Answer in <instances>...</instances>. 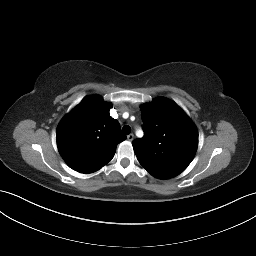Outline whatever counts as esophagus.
I'll list each match as a JSON object with an SVG mask.
<instances>
[{
	"instance_id": "obj_1",
	"label": "esophagus",
	"mask_w": 256,
	"mask_h": 256,
	"mask_svg": "<svg viewBox=\"0 0 256 256\" xmlns=\"http://www.w3.org/2000/svg\"><path fill=\"white\" fill-rule=\"evenodd\" d=\"M127 139H128L129 141H132V140L134 139V135H133V134L127 135Z\"/></svg>"
}]
</instances>
